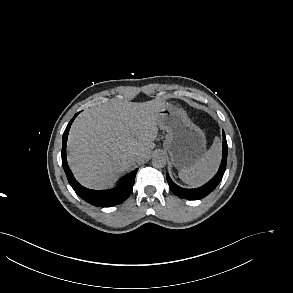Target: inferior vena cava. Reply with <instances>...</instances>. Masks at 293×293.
Masks as SVG:
<instances>
[{
	"label": "inferior vena cava",
	"instance_id": "obj_1",
	"mask_svg": "<svg viewBox=\"0 0 293 293\" xmlns=\"http://www.w3.org/2000/svg\"><path fill=\"white\" fill-rule=\"evenodd\" d=\"M139 161V157L138 156H132L131 158H130V162H132V163H136V162H138Z\"/></svg>",
	"mask_w": 293,
	"mask_h": 293
}]
</instances>
